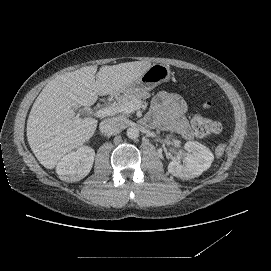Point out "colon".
<instances>
[{"mask_svg":"<svg viewBox=\"0 0 271 271\" xmlns=\"http://www.w3.org/2000/svg\"><path fill=\"white\" fill-rule=\"evenodd\" d=\"M211 105V100L206 99L204 101V108L207 109ZM192 126L196 135L200 137H206L209 135L217 134L221 131V124L215 120H212L204 114H195L192 118ZM226 151L225 144H219L215 148V154L217 156H222Z\"/></svg>","mask_w":271,"mask_h":271,"instance_id":"5ec220e1","label":"colon"}]
</instances>
